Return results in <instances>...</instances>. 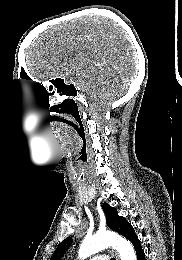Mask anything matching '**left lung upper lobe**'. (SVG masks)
Wrapping results in <instances>:
<instances>
[{
  "instance_id": "5c2ea615",
  "label": "left lung upper lobe",
  "mask_w": 182,
  "mask_h": 260,
  "mask_svg": "<svg viewBox=\"0 0 182 260\" xmlns=\"http://www.w3.org/2000/svg\"><path fill=\"white\" fill-rule=\"evenodd\" d=\"M104 213L106 215L107 224L110 229L123 235L124 237L132 229V226L127 222L123 216H119L117 210L111 207L109 204L104 203L102 205ZM72 238L68 237L64 239L56 248L52 254L50 260H61L64 253L72 244Z\"/></svg>"
}]
</instances>
